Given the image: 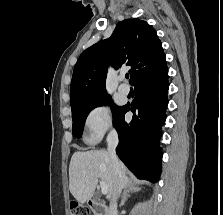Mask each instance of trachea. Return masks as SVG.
Segmentation results:
<instances>
[{"label":"trachea","mask_w":223,"mask_h":215,"mask_svg":"<svg viewBox=\"0 0 223 215\" xmlns=\"http://www.w3.org/2000/svg\"><path fill=\"white\" fill-rule=\"evenodd\" d=\"M125 78H129V75H128V74H126Z\"/></svg>","instance_id":"3493384b"}]
</instances>
